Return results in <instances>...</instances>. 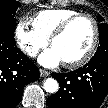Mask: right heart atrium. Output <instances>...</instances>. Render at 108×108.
I'll return each mask as SVG.
<instances>
[{
  "instance_id": "1",
  "label": "right heart atrium",
  "mask_w": 108,
  "mask_h": 108,
  "mask_svg": "<svg viewBox=\"0 0 108 108\" xmlns=\"http://www.w3.org/2000/svg\"><path fill=\"white\" fill-rule=\"evenodd\" d=\"M15 38L19 48L29 57H34L48 44V39L30 28L26 21H19L15 27Z\"/></svg>"
}]
</instances>
